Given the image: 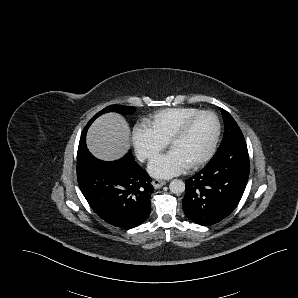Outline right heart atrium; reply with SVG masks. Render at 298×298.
<instances>
[{
  "label": "right heart atrium",
  "instance_id": "1",
  "mask_svg": "<svg viewBox=\"0 0 298 298\" xmlns=\"http://www.w3.org/2000/svg\"><path fill=\"white\" fill-rule=\"evenodd\" d=\"M131 137L136 154L143 161L150 159L166 146L164 140L157 137L150 129L140 125L132 127Z\"/></svg>",
  "mask_w": 298,
  "mask_h": 298
}]
</instances>
